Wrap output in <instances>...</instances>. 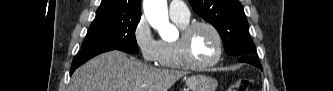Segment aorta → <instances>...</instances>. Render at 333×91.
<instances>
[{
	"mask_svg": "<svg viewBox=\"0 0 333 91\" xmlns=\"http://www.w3.org/2000/svg\"><path fill=\"white\" fill-rule=\"evenodd\" d=\"M144 13L161 38L170 39L173 36L175 27L169 23L166 0H144Z\"/></svg>",
	"mask_w": 333,
	"mask_h": 91,
	"instance_id": "aorta-1",
	"label": "aorta"
}]
</instances>
